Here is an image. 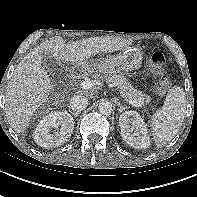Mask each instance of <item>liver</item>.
<instances>
[{
    "label": "liver",
    "mask_w": 197,
    "mask_h": 197,
    "mask_svg": "<svg viewBox=\"0 0 197 197\" xmlns=\"http://www.w3.org/2000/svg\"><path fill=\"white\" fill-rule=\"evenodd\" d=\"M132 43L131 40L107 36L66 44L57 36L34 48L17 65L7 86L5 111L11 127L17 133H23L34 112L51 94V80L42 66L44 53H49L57 61L84 65L94 55L112 53L127 48ZM63 101V95H55V105Z\"/></svg>",
    "instance_id": "6515ba94"
}]
</instances>
